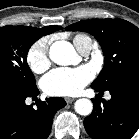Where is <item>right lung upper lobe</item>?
Here are the masks:
<instances>
[{
	"label": "right lung upper lobe",
	"mask_w": 139,
	"mask_h": 139,
	"mask_svg": "<svg viewBox=\"0 0 139 139\" xmlns=\"http://www.w3.org/2000/svg\"><path fill=\"white\" fill-rule=\"evenodd\" d=\"M20 27H23L41 37L62 29L61 26H47V27H43V28H33V27H27V26H20Z\"/></svg>",
	"instance_id": "right-lung-upper-lobe-1"
}]
</instances>
